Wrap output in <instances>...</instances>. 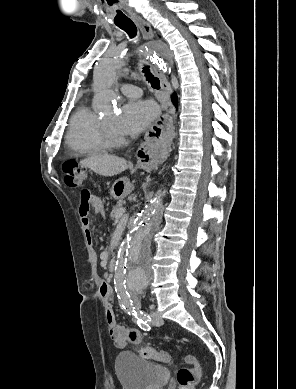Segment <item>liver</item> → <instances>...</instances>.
I'll use <instances>...</instances> for the list:
<instances>
[{"instance_id":"1","label":"liver","mask_w":296,"mask_h":389,"mask_svg":"<svg viewBox=\"0 0 296 389\" xmlns=\"http://www.w3.org/2000/svg\"><path fill=\"white\" fill-rule=\"evenodd\" d=\"M80 164L84 167H88L96 174L111 177L118 175L125 171L129 164L123 158L95 154L80 161Z\"/></svg>"}]
</instances>
